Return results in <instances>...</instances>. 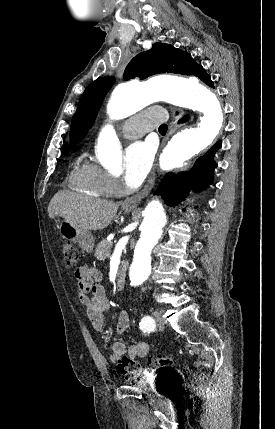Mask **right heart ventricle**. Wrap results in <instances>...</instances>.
<instances>
[{
    "mask_svg": "<svg viewBox=\"0 0 275 429\" xmlns=\"http://www.w3.org/2000/svg\"><path fill=\"white\" fill-rule=\"evenodd\" d=\"M70 186L93 197H108L107 173L90 159L83 160L71 173Z\"/></svg>",
    "mask_w": 275,
    "mask_h": 429,
    "instance_id": "obj_1",
    "label": "right heart ventricle"
}]
</instances>
